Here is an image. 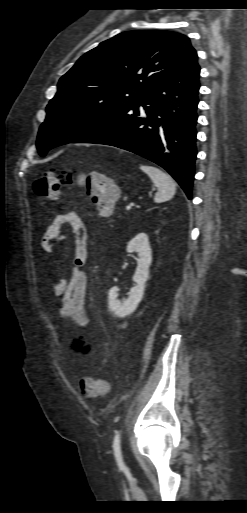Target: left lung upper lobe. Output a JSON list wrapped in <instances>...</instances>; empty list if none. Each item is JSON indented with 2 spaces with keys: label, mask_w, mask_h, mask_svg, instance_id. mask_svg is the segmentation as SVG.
Returning a JSON list of instances; mask_svg holds the SVG:
<instances>
[{
  "label": "left lung upper lobe",
  "mask_w": 247,
  "mask_h": 513,
  "mask_svg": "<svg viewBox=\"0 0 247 513\" xmlns=\"http://www.w3.org/2000/svg\"><path fill=\"white\" fill-rule=\"evenodd\" d=\"M196 56L188 37L163 30L123 32L100 43L59 80L38 133L39 154L95 131Z\"/></svg>",
  "instance_id": "obj_1"
}]
</instances>
